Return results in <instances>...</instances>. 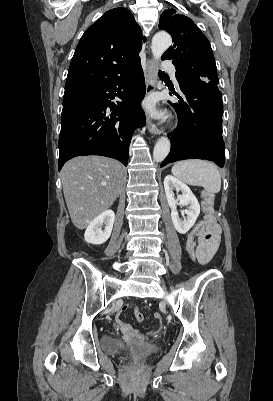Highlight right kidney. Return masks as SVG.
Segmentation results:
<instances>
[{"label": "right kidney", "instance_id": "right-kidney-1", "mask_svg": "<svg viewBox=\"0 0 273 401\" xmlns=\"http://www.w3.org/2000/svg\"><path fill=\"white\" fill-rule=\"evenodd\" d=\"M115 221V213L113 211H104L99 217H96L89 227H87L84 235L86 243H92V245H102L108 241L113 225ZM102 225H106L105 229H102Z\"/></svg>", "mask_w": 273, "mask_h": 401}]
</instances>
